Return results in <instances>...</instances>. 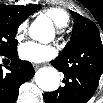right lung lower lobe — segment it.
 I'll return each mask as SVG.
<instances>
[{"mask_svg": "<svg viewBox=\"0 0 103 103\" xmlns=\"http://www.w3.org/2000/svg\"><path fill=\"white\" fill-rule=\"evenodd\" d=\"M0 56L11 60L7 73L3 72L0 65V103H14L18 97L20 85L33 77L34 69L30 62L17 58V51Z\"/></svg>", "mask_w": 103, "mask_h": 103, "instance_id": "right-lung-lower-lobe-1", "label": "right lung lower lobe"}]
</instances>
